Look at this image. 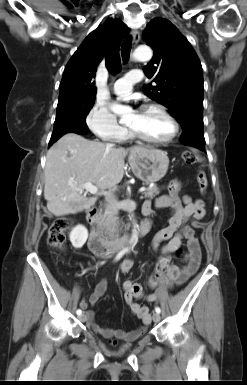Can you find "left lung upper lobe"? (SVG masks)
I'll use <instances>...</instances> for the list:
<instances>
[{
	"label": "left lung upper lobe",
	"mask_w": 247,
	"mask_h": 385,
	"mask_svg": "<svg viewBox=\"0 0 247 385\" xmlns=\"http://www.w3.org/2000/svg\"><path fill=\"white\" fill-rule=\"evenodd\" d=\"M147 45L154 55L143 68L149 83L143 91L170 109L182 128L203 126V74L191 44L167 19L154 18L144 30Z\"/></svg>",
	"instance_id": "obj_1"
}]
</instances>
